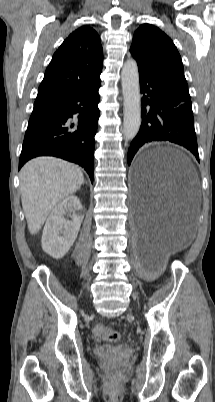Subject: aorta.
Returning a JSON list of instances; mask_svg holds the SVG:
<instances>
[{
	"mask_svg": "<svg viewBox=\"0 0 215 402\" xmlns=\"http://www.w3.org/2000/svg\"><path fill=\"white\" fill-rule=\"evenodd\" d=\"M124 98V136L132 140L141 125V97L138 66L135 60L125 62L121 71Z\"/></svg>",
	"mask_w": 215,
	"mask_h": 402,
	"instance_id": "aorta-1",
	"label": "aorta"
}]
</instances>
